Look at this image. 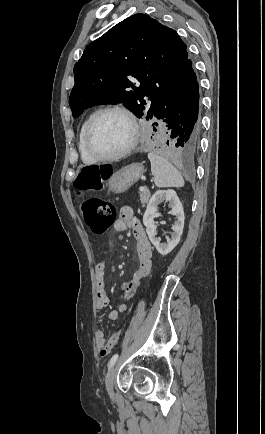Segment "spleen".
I'll return each mask as SVG.
<instances>
[{
	"instance_id": "3e777b00",
	"label": "spleen",
	"mask_w": 265,
	"mask_h": 434,
	"mask_svg": "<svg viewBox=\"0 0 265 434\" xmlns=\"http://www.w3.org/2000/svg\"><path fill=\"white\" fill-rule=\"evenodd\" d=\"M148 158L151 162V172L154 176V184L158 188H182L184 186V180L176 170L175 166H172L166 158L150 152Z\"/></svg>"
}]
</instances>
